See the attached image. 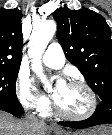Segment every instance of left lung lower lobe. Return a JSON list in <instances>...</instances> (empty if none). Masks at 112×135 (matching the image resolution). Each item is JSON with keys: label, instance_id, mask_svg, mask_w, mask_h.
Returning <instances> with one entry per match:
<instances>
[{"label": "left lung lower lobe", "instance_id": "left-lung-lower-lobe-1", "mask_svg": "<svg viewBox=\"0 0 112 135\" xmlns=\"http://www.w3.org/2000/svg\"><path fill=\"white\" fill-rule=\"evenodd\" d=\"M107 123L112 124V98L102 100L94 114L86 120L77 122H58V124L62 126L78 129Z\"/></svg>", "mask_w": 112, "mask_h": 135}]
</instances>
